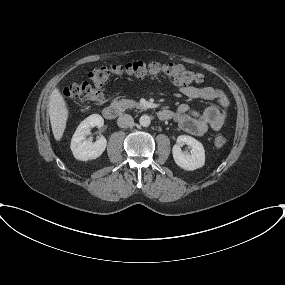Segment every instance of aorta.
Instances as JSON below:
<instances>
[{"instance_id":"762f6f07","label":"aorta","mask_w":285,"mask_h":285,"mask_svg":"<svg viewBox=\"0 0 285 285\" xmlns=\"http://www.w3.org/2000/svg\"><path fill=\"white\" fill-rule=\"evenodd\" d=\"M139 123L143 127H148L151 123V119L148 115H142L139 119Z\"/></svg>"}]
</instances>
